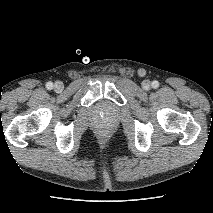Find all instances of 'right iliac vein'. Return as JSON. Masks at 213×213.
I'll use <instances>...</instances> for the list:
<instances>
[{"label":"right iliac vein","instance_id":"1","mask_svg":"<svg viewBox=\"0 0 213 213\" xmlns=\"http://www.w3.org/2000/svg\"><path fill=\"white\" fill-rule=\"evenodd\" d=\"M64 88V85L61 81L55 82L54 89L56 92H61Z\"/></svg>","mask_w":213,"mask_h":213}]
</instances>
